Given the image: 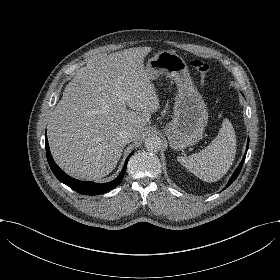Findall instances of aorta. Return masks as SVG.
<instances>
[{
    "label": "aorta",
    "mask_w": 280,
    "mask_h": 280,
    "mask_svg": "<svg viewBox=\"0 0 280 280\" xmlns=\"http://www.w3.org/2000/svg\"><path fill=\"white\" fill-rule=\"evenodd\" d=\"M145 148L149 152H156L162 147V140L157 135H150L145 139Z\"/></svg>",
    "instance_id": "aorta-1"
}]
</instances>
